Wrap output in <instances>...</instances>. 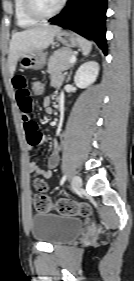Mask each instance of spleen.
I'll return each instance as SVG.
<instances>
[{"label":"spleen","mask_w":134,"mask_h":281,"mask_svg":"<svg viewBox=\"0 0 134 281\" xmlns=\"http://www.w3.org/2000/svg\"><path fill=\"white\" fill-rule=\"evenodd\" d=\"M79 45L82 49V53L84 55H88L92 49V43L88 41L87 39L80 37L79 39Z\"/></svg>","instance_id":"3e777b00"}]
</instances>
